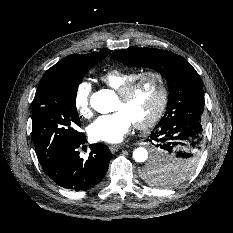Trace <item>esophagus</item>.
Wrapping results in <instances>:
<instances>
[{
  "label": "esophagus",
  "instance_id": "34e87169",
  "mask_svg": "<svg viewBox=\"0 0 233 233\" xmlns=\"http://www.w3.org/2000/svg\"><path fill=\"white\" fill-rule=\"evenodd\" d=\"M121 148L120 144H111L109 145V149L112 153L118 151Z\"/></svg>",
  "mask_w": 233,
  "mask_h": 233
}]
</instances>
